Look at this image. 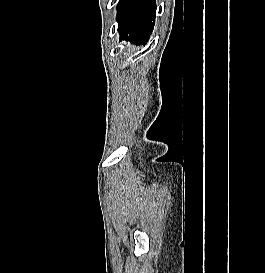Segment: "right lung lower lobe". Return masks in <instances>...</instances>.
<instances>
[{
  "label": "right lung lower lobe",
  "instance_id": "right-lung-lower-lobe-1",
  "mask_svg": "<svg viewBox=\"0 0 265 273\" xmlns=\"http://www.w3.org/2000/svg\"><path fill=\"white\" fill-rule=\"evenodd\" d=\"M117 8L120 40L146 43L155 22V0H121Z\"/></svg>",
  "mask_w": 265,
  "mask_h": 273
}]
</instances>
